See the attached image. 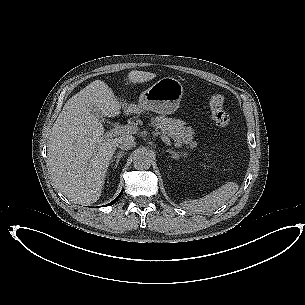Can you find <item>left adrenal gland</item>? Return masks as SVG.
<instances>
[{
  "label": "left adrenal gland",
  "mask_w": 305,
  "mask_h": 305,
  "mask_svg": "<svg viewBox=\"0 0 305 305\" xmlns=\"http://www.w3.org/2000/svg\"><path fill=\"white\" fill-rule=\"evenodd\" d=\"M166 152H168L173 159H179L182 156L180 152L173 151L172 149H168Z\"/></svg>",
  "instance_id": "a2214340"
}]
</instances>
